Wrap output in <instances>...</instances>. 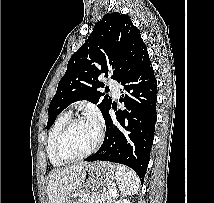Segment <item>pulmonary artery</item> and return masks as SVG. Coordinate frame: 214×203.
Instances as JSON below:
<instances>
[{
	"mask_svg": "<svg viewBox=\"0 0 214 203\" xmlns=\"http://www.w3.org/2000/svg\"><path fill=\"white\" fill-rule=\"evenodd\" d=\"M107 85L109 86V88L112 91L113 95L115 97H118V94H119V84L115 80L109 79L107 81Z\"/></svg>",
	"mask_w": 214,
	"mask_h": 203,
	"instance_id": "1",
	"label": "pulmonary artery"
}]
</instances>
